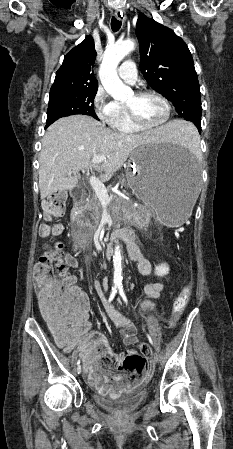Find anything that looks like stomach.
<instances>
[{"label": "stomach", "mask_w": 233, "mask_h": 449, "mask_svg": "<svg viewBox=\"0 0 233 449\" xmlns=\"http://www.w3.org/2000/svg\"><path fill=\"white\" fill-rule=\"evenodd\" d=\"M126 177L135 196L167 227L182 225L199 200L200 172L195 157L165 142L139 146L132 153Z\"/></svg>", "instance_id": "obj_1"}]
</instances>
